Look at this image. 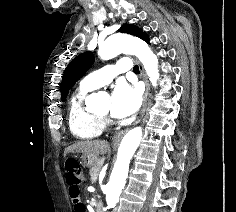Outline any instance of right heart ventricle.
I'll return each instance as SVG.
<instances>
[{"label": "right heart ventricle", "mask_w": 236, "mask_h": 212, "mask_svg": "<svg viewBox=\"0 0 236 212\" xmlns=\"http://www.w3.org/2000/svg\"><path fill=\"white\" fill-rule=\"evenodd\" d=\"M95 89L82 86L71 98L69 104V126L73 135L79 139H93L106 129V122L99 115L90 112L84 105L85 98Z\"/></svg>", "instance_id": "1"}]
</instances>
